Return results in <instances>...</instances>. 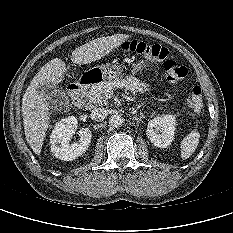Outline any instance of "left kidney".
<instances>
[{
	"label": "left kidney",
	"instance_id": "1",
	"mask_svg": "<svg viewBox=\"0 0 233 233\" xmlns=\"http://www.w3.org/2000/svg\"><path fill=\"white\" fill-rule=\"evenodd\" d=\"M175 126V116L170 114L158 116L148 123L146 134L154 146L166 148L174 140Z\"/></svg>",
	"mask_w": 233,
	"mask_h": 233
}]
</instances>
